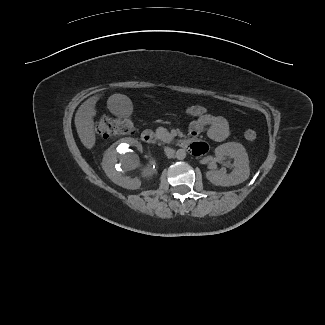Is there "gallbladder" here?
I'll return each mask as SVG.
<instances>
[{"label":"gallbladder","instance_id":"gallbladder-1","mask_svg":"<svg viewBox=\"0 0 325 325\" xmlns=\"http://www.w3.org/2000/svg\"><path fill=\"white\" fill-rule=\"evenodd\" d=\"M109 110L118 117L129 116L133 112L132 104L128 101L119 102L113 106L108 103Z\"/></svg>","mask_w":325,"mask_h":325}]
</instances>
